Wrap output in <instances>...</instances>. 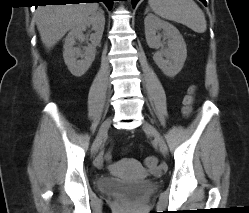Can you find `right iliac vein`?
Wrapping results in <instances>:
<instances>
[{
    "label": "right iliac vein",
    "mask_w": 249,
    "mask_h": 213,
    "mask_svg": "<svg viewBox=\"0 0 249 213\" xmlns=\"http://www.w3.org/2000/svg\"><path fill=\"white\" fill-rule=\"evenodd\" d=\"M111 123H112L111 118L106 119L102 123V125H101V127L99 129V132H98V134L96 136V139L94 140L92 148H91L92 154H95L99 150L100 145L102 143V140L106 136V134H107V132H108V130L110 128Z\"/></svg>",
    "instance_id": "63e3f726"
}]
</instances>
